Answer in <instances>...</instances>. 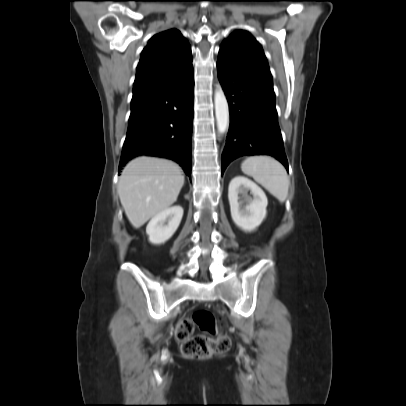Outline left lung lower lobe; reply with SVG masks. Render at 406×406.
Instances as JSON below:
<instances>
[{"mask_svg": "<svg viewBox=\"0 0 406 406\" xmlns=\"http://www.w3.org/2000/svg\"><path fill=\"white\" fill-rule=\"evenodd\" d=\"M217 71L229 102L231 121L221 160L222 173L231 161L245 155H271L288 170L273 81L223 56H218Z\"/></svg>", "mask_w": 406, "mask_h": 406, "instance_id": "obj_1", "label": "left lung lower lobe"}]
</instances>
